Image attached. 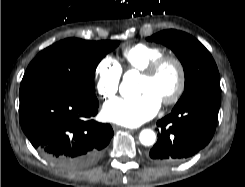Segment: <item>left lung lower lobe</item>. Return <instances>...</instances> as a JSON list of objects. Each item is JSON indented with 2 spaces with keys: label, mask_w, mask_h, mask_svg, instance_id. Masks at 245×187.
<instances>
[{
  "label": "left lung lower lobe",
  "mask_w": 245,
  "mask_h": 187,
  "mask_svg": "<svg viewBox=\"0 0 245 187\" xmlns=\"http://www.w3.org/2000/svg\"><path fill=\"white\" fill-rule=\"evenodd\" d=\"M220 102V89H213L173 108L169 115L157 122L160 131L149 159L172 165L204 148L214 135Z\"/></svg>",
  "instance_id": "0a47b994"
}]
</instances>
